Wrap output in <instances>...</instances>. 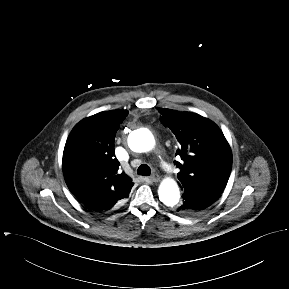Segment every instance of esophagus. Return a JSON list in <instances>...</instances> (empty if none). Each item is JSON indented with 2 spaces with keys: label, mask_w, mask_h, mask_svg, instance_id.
<instances>
[{
  "label": "esophagus",
  "mask_w": 289,
  "mask_h": 289,
  "mask_svg": "<svg viewBox=\"0 0 289 289\" xmlns=\"http://www.w3.org/2000/svg\"><path fill=\"white\" fill-rule=\"evenodd\" d=\"M150 180L152 182H159L160 181V176L158 174H153L150 176Z\"/></svg>",
  "instance_id": "34e87169"
}]
</instances>
